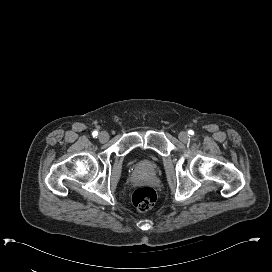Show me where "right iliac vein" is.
Masks as SVG:
<instances>
[{
	"label": "right iliac vein",
	"mask_w": 272,
	"mask_h": 272,
	"mask_svg": "<svg viewBox=\"0 0 272 272\" xmlns=\"http://www.w3.org/2000/svg\"><path fill=\"white\" fill-rule=\"evenodd\" d=\"M108 139H109V135H108L107 132L102 131V132L99 134V140H100L101 142H106Z\"/></svg>",
	"instance_id": "right-iliac-vein-1"
}]
</instances>
